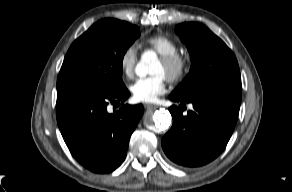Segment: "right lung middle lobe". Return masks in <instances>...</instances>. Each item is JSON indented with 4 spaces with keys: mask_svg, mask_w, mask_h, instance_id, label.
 I'll return each mask as SVG.
<instances>
[{
    "mask_svg": "<svg viewBox=\"0 0 292 192\" xmlns=\"http://www.w3.org/2000/svg\"><path fill=\"white\" fill-rule=\"evenodd\" d=\"M139 36V28L125 21L106 18L96 22L70 46L57 85L81 83L107 92L124 89L122 60Z\"/></svg>",
    "mask_w": 292,
    "mask_h": 192,
    "instance_id": "dd1d6c3e",
    "label": "right lung middle lobe"
}]
</instances>
